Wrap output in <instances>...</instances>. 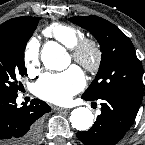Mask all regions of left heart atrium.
Instances as JSON below:
<instances>
[{"label":"left heart atrium","instance_id":"left-heart-atrium-1","mask_svg":"<svg viewBox=\"0 0 145 145\" xmlns=\"http://www.w3.org/2000/svg\"><path fill=\"white\" fill-rule=\"evenodd\" d=\"M85 85L82 71L77 66H71L60 73L44 74L35 84V93L42 99L63 104Z\"/></svg>","mask_w":145,"mask_h":145}]
</instances>
